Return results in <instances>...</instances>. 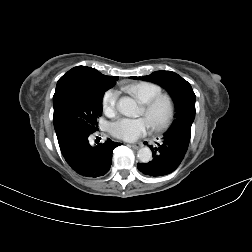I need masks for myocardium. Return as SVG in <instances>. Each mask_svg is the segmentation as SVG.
Here are the masks:
<instances>
[{
	"mask_svg": "<svg viewBox=\"0 0 252 252\" xmlns=\"http://www.w3.org/2000/svg\"><path fill=\"white\" fill-rule=\"evenodd\" d=\"M161 102H164L166 104L165 117L160 123L149 125L150 129L156 133L166 131L172 124L176 111L175 101L170 95L161 93L152 98L147 103L143 104L144 114L148 116L155 110V108Z\"/></svg>",
	"mask_w": 252,
	"mask_h": 252,
	"instance_id": "1",
	"label": "myocardium"
}]
</instances>
